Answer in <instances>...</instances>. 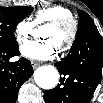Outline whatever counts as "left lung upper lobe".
I'll return each mask as SVG.
<instances>
[{
    "label": "left lung upper lobe",
    "instance_id": "left-lung-upper-lobe-1",
    "mask_svg": "<svg viewBox=\"0 0 103 103\" xmlns=\"http://www.w3.org/2000/svg\"><path fill=\"white\" fill-rule=\"evenodd\" d=\"M78 14H79V26L76 33V39L80 38L88 31L97 30V27L93 19L86 12L78 10Z\"/></svg>",
    "mask_w": 103,
    "mask_h": 103
}]
</instances>
